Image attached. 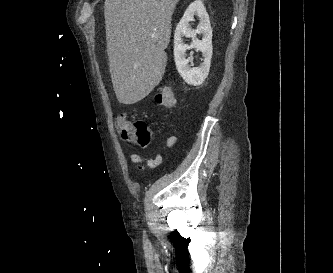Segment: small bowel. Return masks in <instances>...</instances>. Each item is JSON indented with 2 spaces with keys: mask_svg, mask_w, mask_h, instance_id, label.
Here are the masks:
<instances>
[{
  "mask_svg": "<svg viewBox=\"0 0 333 273\" xmlns=\"http://www.w3.org/2000/svg\"><path fill=\"white\" fill-rule=\"evenodd\" d=\"M177 142V137L174 135L169 136L164 144L165 149L172 148ZM130 160L138 165L146 164L149 167H156L162 162V155L156 154L153 158H145L138 153H131L129 155Z\"/></svg>",
  "mask_w": 333,
  "mask_h": 273,
  "instance_id": "c3829d8e",
  "label": "small bowel"
}]
</instances>
